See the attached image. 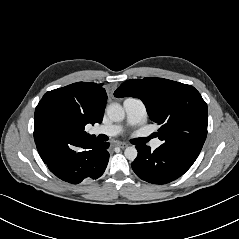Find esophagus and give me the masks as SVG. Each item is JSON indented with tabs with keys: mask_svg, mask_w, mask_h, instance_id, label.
<instances>
[{
	"mask_svg": "<svg viewBox=\"0 0 239 239\" xmlns=\"http://www.w3.org/2000/svg\"><path fill=\"white\" fill-rule=\"evenodd\" d=\"M117 146L120 147V148H122V149H124V148H126L128 145H127L126 143L119 142V143H117Z\"/></svg>",
	"mask_w": 239,
	"mask_h": 239,
	"instance_id": "34e87169",
	"label": "esophagus"
}]
</instances>
